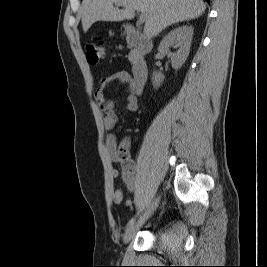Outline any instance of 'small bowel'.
<instances>
[{
  "mask_svg": "<svg viewBox=\"0 0 267 267\" xmlns=\"http://www.w3.org/2000/svg\"><path fill=\"white\" fill-rule=\"evenodd\" d=\"M113 82H121L127 88L126 110L129 112H136L139 108L138 98L134 89V79L126 71L115 72L101 81L100 86L95 92V99L100 104L103 116V127L105 130H112L118 122V116L114 109V102L105 99V89ZM105 150L109 160L113 163H120L122 166V178L127 189L133 192L136 189V164L132 159L121 160L118 151L116 137L109 133L105 139ZM109 174L112 179L119 176V171L116 168H110ZM112 200L116 204L124 202L125 206L132 204L131 199L124 200V194L121 189H114L112 191Z\"/></svg>",
  "mask_w": 267,
  "mask_h": 267,
  "instance_id": "1",
  "label": "small bowel"
}]
</instances>
